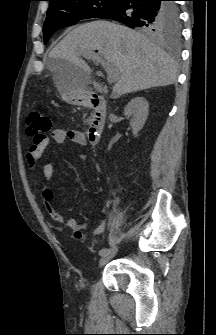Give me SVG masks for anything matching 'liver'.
Wrapping results in <instances>:
<instances>
[{
	"label": "liver",
	"instance_id": "1",
	"mask_svg": "<svg viewBox=\"0 0 216 335\" xmlns=\"http://www.w3.org/2000/svg\"><path fill=\"white\" fill-rule=\"evenodd\" d=\"M95 51L119 74L112 92L116 97L176 81V63L146 36L112 22L93 21L74 28L49 53L57 88L61 77L74 89L84 87L91 69L81 56Z\"/></svg>",
	"mask_w": 216,
	"mask_h": 335
}]
</instances>
